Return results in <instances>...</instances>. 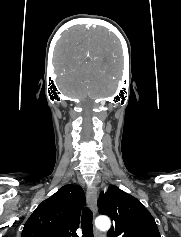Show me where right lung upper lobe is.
Listing matches in <instances>:
<instances>
[{
  "label": "right lung upper lobe",
  "instance_id": "obj_1",
  "mask_svg": "<svg viewBox=\"0 0 181 237\" xmlns=\"http://www.w3.org/2000/svg\"><path fill=\"white\" fill-rule=\"evenodd\" d=\"M85 195L79 185H65L42 201L24 225L21 237H78Z\"/></svg>",
  "mask_w": 181,
  "mask_h": 237
}]
</instances>
